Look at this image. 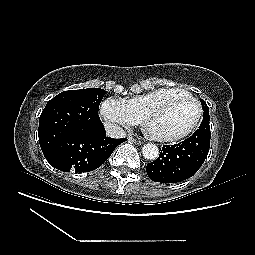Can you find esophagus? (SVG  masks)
Here are the masks:
<instances>
[{
  "instance_id": "1",
  "label": "esophagus",
  "mask_w": 255,
  "mask_h": 255,
  "mask_svg": "<svg viewBox=\"0 0 255 255\" xmlns=\"http://www.w3.org/2000/svg\"><path fill=\"white\" fill-rule=\"evenodd\" d=\"M130 142L134 143V144H137V145H141L142 144V141L141 140H137L133 137H129L128 138Z\"/></svg>"
}]
</instances>
